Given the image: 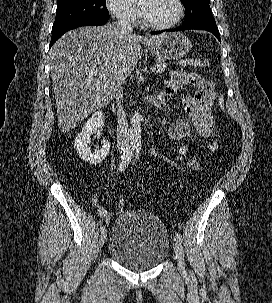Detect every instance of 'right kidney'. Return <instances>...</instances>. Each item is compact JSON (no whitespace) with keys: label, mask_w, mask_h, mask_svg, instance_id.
<instances>
[{"label":"right kidney","mask_w":272,"mask_h":303,"mask_svg":"<svg viewBox=\"0 0 272 303\" xmlns=\"http://www.w3.org/2000/svg\"><path fill=\"white\" fill-rule=\"evenodd\" d=\"M104 125V115L102 111H95L94 114L87 120L82 127L74 141V148L76 149L79 157L91 164L96 165L101 163L108 155L110 151V143L108 140H102V147L92 151L89 146L91 136L93 134H99Z\"/></svg>","instance_id":"obj_1"}]
</instances>
